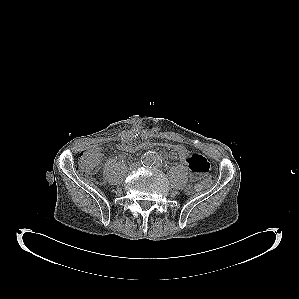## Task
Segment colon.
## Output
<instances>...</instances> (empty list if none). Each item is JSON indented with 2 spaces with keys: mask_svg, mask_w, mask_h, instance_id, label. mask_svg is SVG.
<instances>
[{
  "mask_svg": "<svg viewBox=\"0 0 299 299\" xmlns=\"http://www.w3.org/2000/svg\"><path fill=\"white\" fill-rule=\"evenodd\" d=\"M125 146L124 140L119 141L116 147L122 150ZM153 146H162L171 151H173L181 160H185L188 156V150L180 144H172V143H162V142H152V141H143L139 144L134 143V150L136 152L148 149ZM100 153L98 150H86L82 151L78 156L77 162V170L84 174L90 175L92 174L97 167L99 161ZM212 183V178L210 176H206L201 180L200 183L196 185V190L201 191L208 188Z\"/></svg>",
  "mask_w": 299,
  "mask_h": 299,
  "instance_id": "1",
  "label": "colon"
}]
</instances>
